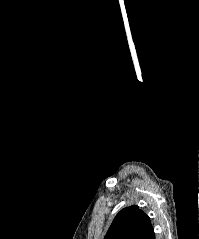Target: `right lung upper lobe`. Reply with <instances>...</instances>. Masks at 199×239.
I'll use <instances>...</instances> for the list:
<instances>
[{"mask_svg":"<svg viewBox=\"0 0 199 239\" xmlns=\"http://www.w3.org/2000/svg\"><path fill=\"white\" fill-rule=\"evenodd\" d=\"M152 230L149 217L134 205L116 215L104 239H143Z\"/></svg>","mask_w":199,"mask_h":239,"instance_id":"1","label":"right lung upper lobe"}]
</instances>
